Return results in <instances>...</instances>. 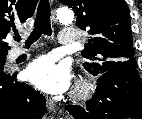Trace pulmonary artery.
<instances>
[{"label": "pulmonary artery", "mask_w": 142, "mask_h": 119, "mask_svg": "<svg viewBox=\"0 0 142 119\" xmlns=\"http://www.w3.org/2000/svg\"><path fill=\"white\" fill-rule=\"evenodd\" d=\"M76 42V35L70 28H63L60 31L59 43L61 45L69 46ZM25 50L21 47H14L9 52V59L14 60L22 55Z\"/></svg>", "instance_id": "e3ab8cb5"}]
</instances>
